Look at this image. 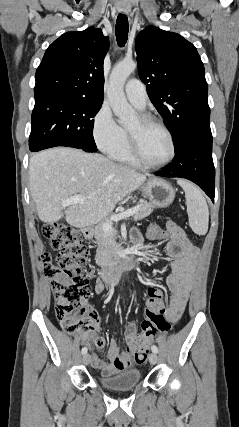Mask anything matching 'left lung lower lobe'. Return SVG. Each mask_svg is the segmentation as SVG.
<instances>
[{"mask_svg":"<svg viewBox=\"0 0 239 427\" xmlns=\"http://www.w3.org/2000/svg\"><path fill=\"white\" fill-rule=\"evenodd\" d=\"M155 175L191 180L214 202L215 168L212 159V135H195L186 139L175 150L172 163Z\"/></svg>","mask_w":239,"mask_h":427,"instance_id":"1","label":"left lung lower lobe"}]
</instances>
